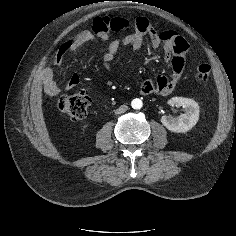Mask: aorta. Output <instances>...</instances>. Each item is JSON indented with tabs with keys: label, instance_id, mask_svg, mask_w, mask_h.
<instances>
[{
	"label": "aorta",
	"instance_id": "obj_1",
	"mask_svg": "<svg viewBox=\"0 0 236 236\" xmlns=\"http://www.w3.org/2000/svg\"><path fill=\"white\" fill-rule=\"evenodd\" d=\"M131 106L133 109H141L143 106L142 100L139 98L133 99L131 102Z\"/></svg>",
	"mask_w": 236,
	"mask_h": 236
}]
</instances>
